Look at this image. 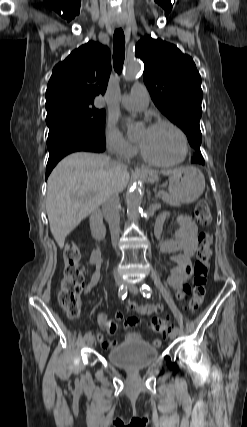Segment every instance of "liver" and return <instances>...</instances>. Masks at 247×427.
Listing matches in <instances>:
<instances>
[{
	"label": "liver",
	"mask_w": 247,
	"mask_h": 427,
	"mask_svg": "<svg viewBox=\"0 0 247 427\" xmlns=\"http://www.w3.org/2000/svg\"><path fill=\"white\" fill-rule=\"evenodd\" d=\"M169 174V173H167ZM130 179L125 165L103 154L76 152L61 160L47 182L46 211L62 249L65 238L104 198L122 192Z\"/></svg>",
	"instance_id": "1"
}]
</instances>
